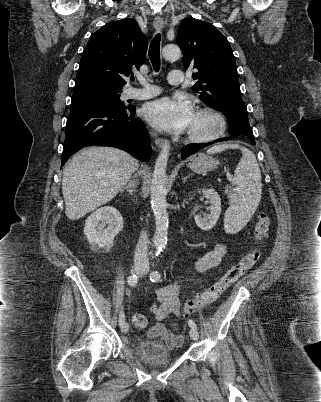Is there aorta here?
<instances>
[{"instance_id":"1","label":"aorta","mask_w":321,"mask_h":402,"mask_svg":"<svg viewBox=\"0 0 321 402\" xmlns=\"http://www.w3.org/2000/svg\"><path fill=\"white\" fill-rule=\"evenodd\" d=\"M162 54L167 60H177L181 55V50L176 45H167L163 48ZM168 158L169 146L164 145L157 157L150 186L151 206L156 224L154 245L158 251L165 248L168 235L169 219L166 202V168Z\"/></svg>"}]
</instances>
